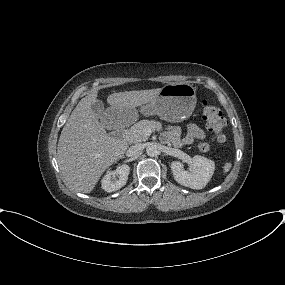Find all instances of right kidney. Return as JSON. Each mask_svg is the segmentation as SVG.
Listing matches in <instances>:
<instances>
[{
	"mask_svg": "<svg viewBox=\"0 0 285 285\" xmlns=\"http://www.w3.org/2000/svg\"><path fill=\"white\" fill-rule=\"evenodd\" d=\"M130 167L126 164L119 166L114 172H107L101 180L102 189L108 193L114 192L126 185ZM118 176V180H112V177Z\"/></svg>",
	"mask_w": 285,
	"mask_h": 285,
	"instance_id": "1",
	"label": "right kidney"
}]
</instances>
